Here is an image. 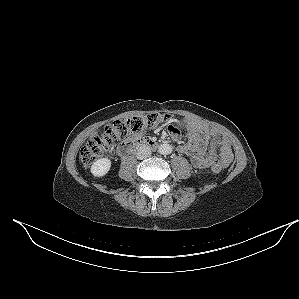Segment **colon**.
<instances>
[{"mask_svg":"<svg viewBox=\"0 0 299 299\" xmlns=\"http://www.w3.org/2000/svg\"><path fill=\"white\" fill-rule=\"evenodd\" d=\"M166 124L170 133H179L175 121L169 115L149 114L135 116L126 121H116L103 132L90 140L80 151V162L84 167H90L97 159L116 142L124 140L131 135L137 134L147 128H153ZM185 140L191 146H199L202 143V136L193 129L184 133ZM223 169L221 163L216 162L211 167L212 173H219Z\"/></svg>","mask_w":299,"mask_h":299,"instance_id":"5ec220e1","label":"colon"}]
</instances>
